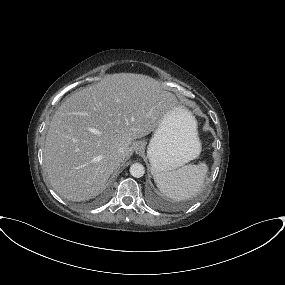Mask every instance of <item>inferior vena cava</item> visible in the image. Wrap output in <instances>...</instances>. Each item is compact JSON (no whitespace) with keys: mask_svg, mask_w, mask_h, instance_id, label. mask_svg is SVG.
Listing matches in <instances>:
<instances>
[{"mask_svg":"<svg viewBox=\"0 0 285 285\" xmlns=\"http://www.w3.org/2000/svg\"><path fill=\"white\" fill-rule=\"evenodd\" d=\"M118 154H119V156H121V157H125V155H126V149L124 148V147H120L119 149H118Z\"/></svg>","mask_w":285,"mask_h":285,"instance_id":"inferior-vena-cava-1","label":"inferior vena cava"}]
</instances>
